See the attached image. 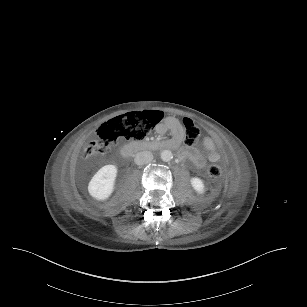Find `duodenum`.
<instances>
[{"instance_id": "410a0bca", "label": "duodenum", "mask_w": 307, "mask_h": 307, "mask_svg": "<svg viewBox=\"0 0 307 307\" xmlns=\"http://www.w3.org/2000/svg\"><path fill=\"white\" fill-rule=\"evenodd\" d=\"M156 148H165L167 150L173 149L170 141L151 140V141L129 142L121 148V153L124 156H126L131 153L149 150V149H156Z\"/></svg>"}]
</instances>
